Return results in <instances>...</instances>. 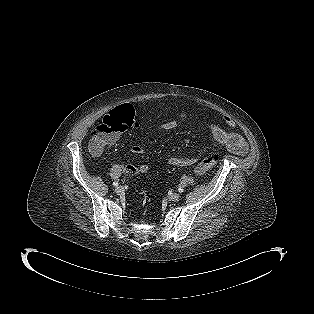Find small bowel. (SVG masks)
<instances>
[{
    "instance_id": "1",
    "label": "small bowel",
    "mask_w": 314,
    "mask_h": 314,
    "mask_svg": "<svg viewBox=\"0 0 314 314\" xmlns=\"http://www.w3.org/2000/svg\"><path fill=\"white\" fill-rule=\"evenodd\" d=\"M184 116V115H182ZM224 123L228 127L233 126V122L229 118H224ZM176 126V121L169 120L164 122L161 125V129L163 130H170L173 129ZM210 133L213 139L219 143L221 146L225 147L228 151L239 154V155H245L248 151V145L245 142V140L236 132L229 131L221 127L220 125L216 123H210L209 124ZM119 140V136H116L114 141L108 146H111L115 144ZM144 148L140 145H134L131 148V152L136 155H140L144 153ZM196 159L192 157H172L169 160V163L173 166L178 167H186L191 166L195 164ZM147 170V167L145 165L135 166V165H127L125 167V171L129 175H135L139 173H143Z\"/></svg>"
}]
</instances>
